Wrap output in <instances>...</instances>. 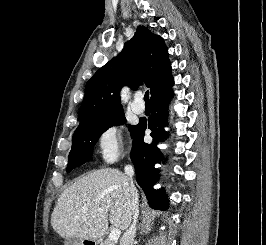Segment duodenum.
<instances>
[{"label": "duodenum", "mask_w": 266, "mask_h": 245, "mask_svg": "<svg viewBox=\"0 0 266 245\" xmlns=\"http://www.w3.org/2000/svg\"><path fill=\"white\" fill-rule=\"evenodd\" d=\"M80 242H86V245H99L97 237H80Z\"/></svg>", "instance_id": "1"}]
</instances>
